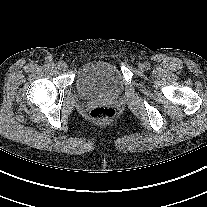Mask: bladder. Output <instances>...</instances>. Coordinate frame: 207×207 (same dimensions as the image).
Segmentation results:
<instances>
[{
    "mask_svg": "<svg viewBox=\"0 0 207 207\" xmlns=\"http://www.w3.org/2000/svg\"><path fill=\"white\" fill-rule=\"evenodd\" d=\"M79 93L85 98L118 96L124 89L122 75L111 62L95 60L86 63L76 77Z\"/></svg>",
    "mask_w": 207,
    "mask_h": 207,
    "instance_id": "31cf9c89",
    "label": "bladder"
}]
</instances>
